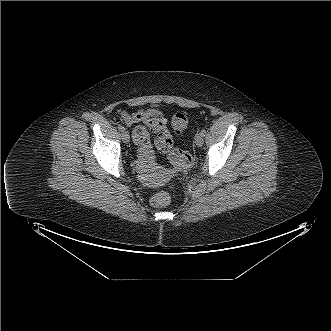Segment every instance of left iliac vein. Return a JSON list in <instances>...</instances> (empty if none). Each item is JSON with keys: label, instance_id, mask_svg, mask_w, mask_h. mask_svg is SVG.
Wrapping results in <instances>:
<instances>
[{"label": "left iliac vein", "instance_id": "4c4485c4", "mask_svg": "<svg viewBox=\"0 0 331 331\" xmlns=\"http://www.w3.org/2000/svg\"><path fill=\"white\" fill-rule=\"evenodd\" d=\"M204 142V136L201 133H197L195 136V144L198 147H201L203 145Z\"/></svg>", "mask_w": 331, "mask_h": 331}]
</instances>
